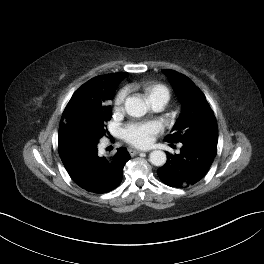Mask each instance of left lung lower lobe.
Wrapping results in <instances>:
<instances>
[{
    "mask_svg": "<svg viewBox=\"0 0 264 264\" xmlns=\"http://www.w3.org/2000/svg\"><path fill=\"white\" fill-rule=\"evenodd\" d=\"M216 152L217 145L210 142L181 143L179 154L167 153L166 164L157 170L159 178L175 188L192 186L206 175Z\"/></svg>",
    "mask_w": 264,
    "mask_h": 264,
    "instance_id": "obj_1",
    "label": "left lung lower lobe"
}]
</instances>
